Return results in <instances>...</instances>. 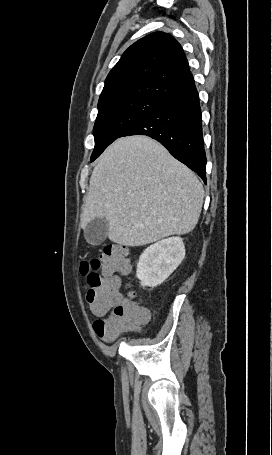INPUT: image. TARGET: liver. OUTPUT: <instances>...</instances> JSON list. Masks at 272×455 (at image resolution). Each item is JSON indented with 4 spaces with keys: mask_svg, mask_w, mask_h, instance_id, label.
<instances>
[{
    "mask_svg": "<svg viewBox=\"0 0 272 455\" xmlns=\"http://www.w3.org/2000/svg\"><path fill=\"white\" fill-rule=\"evenodd\" d=\"M203 199L196 175L161 144L146 136L123 137L92 172L81 225L105 218L112 242L142 246L191 232Z\"/></svg>",
    "mask_w": 272,
    "mask_h": 455,
    "instance_id": "6515ba94",
    "label": "liver"
}]
</instances>
